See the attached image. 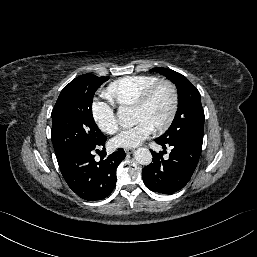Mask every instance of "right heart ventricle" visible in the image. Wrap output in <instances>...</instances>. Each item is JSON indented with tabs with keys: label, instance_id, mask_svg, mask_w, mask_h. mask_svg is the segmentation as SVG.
Masks as SVG:
<instances>
[{
	"label": "right heart ventricle",
	"instance_id": "obj_1",
	"mask_svg": "<svg viewBox=\"0 0 257 257\" xmlns=\"http://www.w3.org/2000/svg\"><path fill=\"white\" fill-rule=\"evenodd\" d=\"M157 81V77L150 75L126 76L110 83L104 95L120 107H132L141 94Z\"/></svg>",
	"mask_w": 257,
	"mask_h": 257
}]
</instances>
